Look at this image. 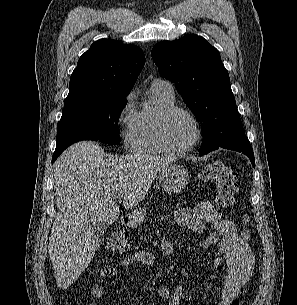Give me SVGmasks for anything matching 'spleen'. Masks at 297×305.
Segmentation results:
<instances>
[{
	"instance_id": "1",
	"label": "spleen",
	"mask_w": 297,
	"mask_h": 305,
	"mask_svg": "<svg viewBox=\"0 0 297 305\" xmlns=\"http://www.w3.org/2000/svg\"><path fill=\"white\" fill-rule=\"evenodd\" d=\"M249 218L245 216L244 221L248 222Z\"/></svg>"
}]
</instances>
